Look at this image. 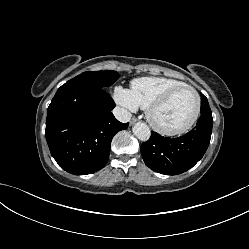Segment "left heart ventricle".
<instances>
[{
  "instance_id": "left-heart-ventricle-1",
  "label": "left heart ventricle",
  "mask_w": 249,
  "mask_h": 249,
  "mask_svg": "<svg viewBox=\"0 0 249 249\" xmlns=\"http://www.w3.org/2000/svg\"><path fill=\"white\" fill-rule=\"evenodd\" d=\"M196 107V97L189 89H182L158 110L155 121L166 129H176L184 126L192 117Z\"/></svg>"
}]
</instances>
